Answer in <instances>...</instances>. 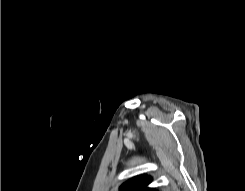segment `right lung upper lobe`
<instances>
[{
    "label": "right lung upper lobe",
    "mask_w": 245,
    "mask_h": 191,
    "mask_svg": "<svg viewBox=\"0 0 245 191\" xmlns=\"http://www.w3.org/2000/svg\"><path fill=\"white\" fill-rule=\"evenodd\" d=\"M152 181L148 175H140L125 182L120 191H158L154 188H148L147 185Z\"/></svg>",
    "instance_id": "right-lung-upper-lobe-1"
}]
</instances>
